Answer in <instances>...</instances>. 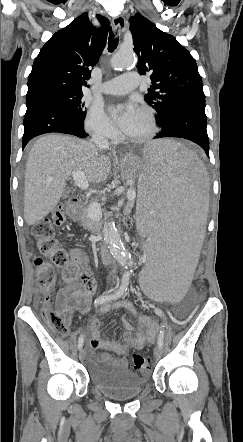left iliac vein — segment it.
<instances>
[{"instance_id":"obj_1","label":"left iliac vein","mask_w":243,"mask_h":442,"mask_svg":"<svg viewBox=\"0 0 243 442\" xmlns=\"http://www.w3.org/2000/svg\"><path fill=\"white\" fill-rule=\"evenodd\" d=\"M161 353H162L161 348L156 347L154 349V356H155L156 359H159L161 357Z\"/></svg>"}]
</instances>
